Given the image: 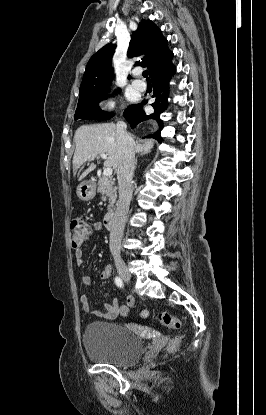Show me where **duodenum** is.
<instances>
[{
  "label": "duodenum",
  "instance_id": "obj_1",
  "mask_svg": "<svg viewBox=\"0 0 266 415\" xmlns=\"http://www.w3.org/2000/svg\"><path fill=\"white\" fill-rule=\"evenodd\" d=\"M116 216L114 213H108L105 215L103 225L106 229L111 230L115 226Z\"/></svg>",
  "mask_w": 266,
  "mask_h": 415
}]
</instances>
